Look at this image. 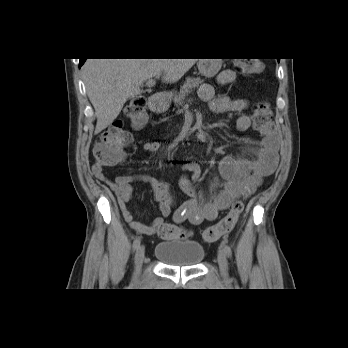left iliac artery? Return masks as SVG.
Returning a JSON list of instances; mask_svg holds the SVG:
<instances>
[{
  "instance_id": "left-iliac-artery-1",
  "label": "left iliac artery",
  "mask_w": 348,
  "mask_h": 348,
  "mask_svg": "<svg viewBox=\"0 0 348 348\" xmlns=\"http://www.w3.org/2000/svg\"><path fill=\"white\" fill-rule=\"evenodd\" d=\"M222 246H223V250L225 252V254L227 255L228 258H231L232 257V250L231 248L225 244V243H222Z\"/></svg>"
}]
</instances>
